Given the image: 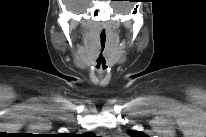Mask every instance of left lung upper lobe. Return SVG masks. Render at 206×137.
Masks as SVG:
<instances>
[{
    "mask_svg": "<svg viewBox=\"0 0 206 137\" xmlns=\"http://www.w3.org/2000/svg\"><path fill=\"white\" fill-rule=\"evenodd\" d=\"M128 133L131 137H148L146 134L138 131L129 130Z\"/></svg>",
    "mask_w": 206,
    "mask_h": 137,
    "instance_id": "5c2ea615",
    "label": "left lung upper lobe"
}]
</instances>
